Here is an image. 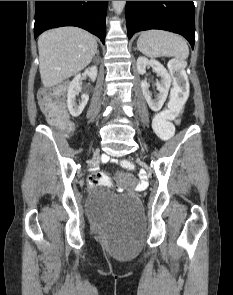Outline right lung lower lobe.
Returning <instances> with one entry per match:
<instances>
[{"mask_svg": "<svg viewBox=\"0 0 233 295\" xmlns=\"http://www.w3.org/2000/svg\"><path fill=\"white\" fill-rule=\"evenodd\" d=\"M108 1H35L34 36L50 28L77 26L98 36L106 35Z\"/></svg>", "mask_w": 233, "mask_h": 295, "instance_id": "98d812e1", "label": "right lung lower lobe"}]
</instances>
